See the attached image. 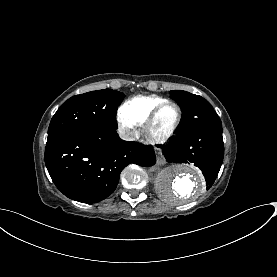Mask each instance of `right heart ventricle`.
I'll list each match as a JSON object with an SVG mask.
<instances>
[{
	"mask_svg": "<svg viewBox=\"0 0 277 277\" xmlns=\"http://www.w3.org/2000/svg\"><path fill=\"white\" fill-rule=\"evenodd\" d=\"M165 101H168V99L158 96H135L122 105L120 117L136 125H142L148 119L153 109Z\"/></svg>",
	"mask_w": 277,
	"mask_h": 277,
	"instance_id": "e07e8e85",
	"label": "right heart ventricle"
}]
</instances>
